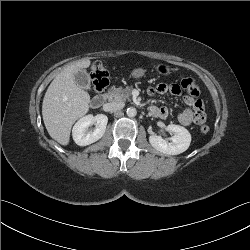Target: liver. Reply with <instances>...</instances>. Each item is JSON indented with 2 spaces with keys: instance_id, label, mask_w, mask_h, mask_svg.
Returning a JSON list of instances; mask_svg holds the SVG:
<instances>
[{
  "instance_id": "1",
  "label": "liver",
  "mask_w": 250,
  "mask_h": 250,
  "mask_svg": "<svg viewBox=\"0 0 250 250\" xmlns=\"http://www.w3.org/2000/svg\"><path fill=\"white\" fill-rule=\"evenodd\" d=\"M89 59L77 61L60 72L49 85L42 103V116L49 135L68 145L74 122L89 110L90 96L75 82V73L88 68Z\"/></svg>"
}]
</instances>
